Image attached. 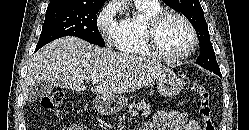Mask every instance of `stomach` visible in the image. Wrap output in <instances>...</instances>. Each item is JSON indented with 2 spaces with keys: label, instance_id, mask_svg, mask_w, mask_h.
Listing matches in <instances>:
<instances>
[{
  "label": "stomach",
  "instance_id": "1",
  "mask_svg": "<svg viewBox=\"0 0 249 130\" xmlns=\"http://www.w3.org/2000/svg\"><path fill=\"white\" fill-rule=\"evenodd\" d=\"M158 92L164 97H173L183 89V81L173 72L164 74L157 79ZM96 109L103 114H113L128 104V99L122 95L97 96Z\"/></svg>",
  "mask_w": 249,
  "mask_h": 130
}]
</instances>
